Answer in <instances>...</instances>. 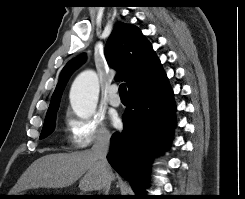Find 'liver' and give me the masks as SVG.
Returning <instances> with one entry per match:
<instances>
[{"label":"liver","instance_id":"obj_1","mask_svg":"<svg viewBox=\"0 0 245 199\" xmlns=\"http://www.w3.org/2000/svg\"><path fill=\"white\" fill-rule=\"evenodd\" d=\"M115 176L112 173L111 181ZM78 179L82 191L101 190L102 176L92 150L42 156L19 179L14 193L31 188H63Z\"/></svg>","mask_w":245,"mask_h":199}]
</instances>
